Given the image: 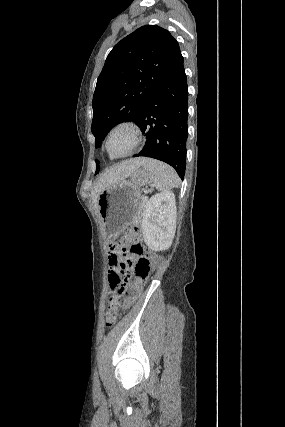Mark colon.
Segmentation results:
<instances>
[{
	"mask_svg": "<svg viewBox=\"0 0 285 427\" xmlns=\"http://www.w3.org/2000/svg\"><path fill=\"white\" fill-rule=\"evenodd\" d=\"M127 248L133 260L128 262L119 260L118 266L122 273L109 275V282L114 293L109 299L107 326H112L115 323L116 313L126 300H132L138 296L142 285L147 281L151 273L152 259L139 242V230L137 228L126 230L114 242L111 253L119 256ZM130 268L133 275L131 280L126 282L123 273Z\"/></svg>",
	"mask_w": 285,
	"mask_h": 427,
	"instance_id": "1",
	"label": "colon"
}]
</instances>
